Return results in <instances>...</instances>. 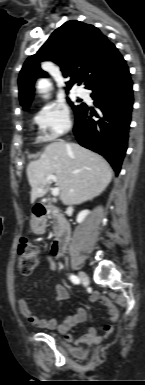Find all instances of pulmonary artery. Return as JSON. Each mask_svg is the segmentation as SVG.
I'll use <instances>...</instances> for the list:
<instances>
[{
	"label": "pulmonary artery",
	"instance_id": "obj_1",
	"mask_svg": "<svg viewBox=\"0 0 145 385\" xmlns=\"http://www.w3.org/2000/svg\"><path fill=\"white\" fill-rule=\"evenodd\" d=\"M76 93H77V95L78 96H80V97H83V96H85V90L83 89V88H78L77 90H76Z\"/></svg>",
	"mask_w": 145,
	"mask_h": 385
}]
</instances>
